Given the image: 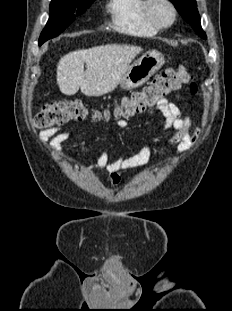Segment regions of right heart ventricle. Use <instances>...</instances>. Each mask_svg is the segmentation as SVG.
<instances>
[{
  "instance_id": "obj_1",
  "label": "right heart ventricle",
  "mask_w": 232,
  "mask_h": 311,
  "mask_svg": "<svg viewBox=\"0 0 232 311\" xmlns=\"http://www.w3.org/2000/svg\"><path fill=\"white\" fill-rule=\"evenodd\" d=\"M145 0H108L106 10L110 24L117 31L132 36H153L159 29L150 25L143 15Z\"/></svg>"
}]
</instances>
